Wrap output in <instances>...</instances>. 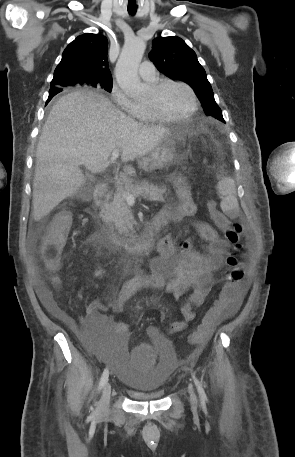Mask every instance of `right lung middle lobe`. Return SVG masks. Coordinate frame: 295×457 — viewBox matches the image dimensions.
<instances>
[{
  "mask_svg": "<svg viewBox=\"0 0 295 457\" xmlns=\"http://www.w3.org/2000/svg\"><path fill=\"white\" fill-rule=\"evenodd\" d=\"M69 85H75V84H69ZM79 85H81V84H79ZM90 85L91 86H101L102 88L106 89L109 92H111V90H112V81H107V82H103L100 84H97V82H94V83H91Z\"/></svg>",
  "mask_w": 295,
  "mask_h": 457,
  "instance_id": "obj_1",
  "label": "right lung middle lobe"
}]
</instances>
